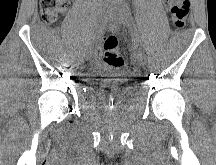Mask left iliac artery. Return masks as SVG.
I'll use <instances>...</instances> for the list:
<instances>
[{"label": "left iliac artery", "instance_id": "obj_1", "mask_svg": "<svg viewBox=\"0 0 216 165\" xmlns=\"http://www.w3.org/2000/svg\"><path fill=\"white\" fill-rule=\"evenodd\" d=\"M123 12H124V15H125V18H126V21L128 22V25L131 29V31L133 32L134 36H135V40L137 42H139V37H138V34H137V29H136V25L134 23V20H133V17L128 9L127 6H124L123 5Z\"/></svg>", "mask_w": 216, "mask_h": 165}]
</instances>
